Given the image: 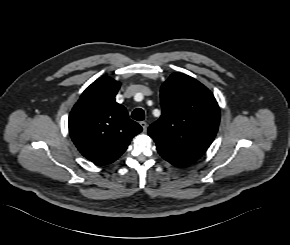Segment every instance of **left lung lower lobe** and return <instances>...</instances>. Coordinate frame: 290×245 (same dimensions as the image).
<instances>
[{"label":"left lung lower lobe","mask_w":290,"mask_h":245,"mask_svg":"<svg viewBox=\"0 0 290 245\" xmlns=\"http://www.w3.org/2000/svg\"><path fill=\"white\" fill-rule=\"evenodd\" d=\"M159 154L165 159L167 160L168 162H170L171 164H173L174 166H177V167H185L187 165H189L190 163H186V162H183V161H180V160H177V159H174L170 156H167L165 155L162 151H160L159 149H157Z\"/></svg>","instance_id":"1"}]
</instances>
